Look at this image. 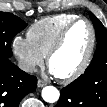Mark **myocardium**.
Segmentation results:
<instances>
[{"instance_id":"obj_1","label":"myocardium","mask_w":107,"mask_h":107,"mask_svg":"<svg viewBox=\"0 0 107 107\" xmlns=\"http://www.w3.org/2000/svg\"><path fill=\"white\" fill-rule=\"evenodd\" d=\"M79 22H84L89 27V30H90L89 48H88L87 54H86L82 64L79 66V68L77 70H75L73 73H71L67 76H57V78L62 83H71V82L75 81L76 79H78L79 77H81L88 69V67L92 61L93 55H94L95 46H96L95 28H94L93 24L87 18L77 17L76 19L69 22L60 32L56 41L54 42V44L52 45V47L50 48V50L48 51V53L46 55L47 63L50 66L51 59L62 48L69 31L71 30V28L74 25H76Z\"/></svg>"}]
</instances>
